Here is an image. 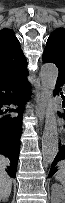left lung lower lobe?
<instances>
[{
    "mask_svg": "<svg viewBox=\"0 0 65 203\" xmlns=\"http://www.w3.org/2000/svg\"><path fill=\"white\" fill-rule=\"evenodd\" d=\"M45 62V61H44ZM61 86L65 87V75L64 74H59L58 75V79H57V83H56V87H55V91L54 94L58 95L60 94L63 98V102H62V107L64 108V112L59 113V116H61L62 118L65 119V97L63 96V93L60 92L61 91ZM65 128V126H64ZM59 161H63V163H65V142L63 145H60V150L58 152V154L56 155L52 165H51V170L50 173L48 175V177L53 176L57 171H58V166L56 165Z\"/></svg>",
    "mask_w": 65,
    "mask_h": 203,
    "instance_id": "0a47b994",
    "label": "left lung lower lobe"
}]
</instances>
